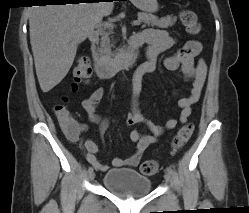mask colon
<instances>
[{"label": "colon", "instance_id": "obj_1", "mask_svg": "<svg viewBox=\"0 0 249 213\" xmlns=\"http://www.w3.org/2000/svg\"><path fill=\"white\" fill-rule=\"evenodd\" d=\"M180 19L187 31L191 34H197L200 31V25L197 16L191 10L184 9L180 12ZM91 68L86 58L80 57L73 69L74 82L72 88L76 90L80 84L86 82L91 77ZM66 102L67 98H63ZM55 114L59 119L69 117L68 108L63 104H57L54 107ZM194 130L192 124L183 125L173 138V148H181L191 137ZM141 172L144 175H153L158 171V164L154 160H146L141 164Z\"/></svg>", "mask_w": 249, "mask_h": 213}]
</instances>
